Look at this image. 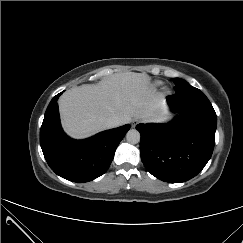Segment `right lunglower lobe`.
Here are the masks:
<instances>
[{"label": "right lung lower lobe", "instance_id": "right-lung-lower-lobe-1", "mask_svg": "<svg viewBox=\"0 0 243 243\" xmlns=\"http://www.w3.org/2000/svg\"><path fill=\"white\" fill-rule=\"evenodd\" d=\"M51 100L40 130V145L50 168L72 182L83 183L103 175L110 166L120 141L130 129L124 125L86 140H73L62 130L57 100Z\"/></svg>", "mask_w": 243, "mask_h": 243}]
</instances>
